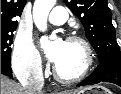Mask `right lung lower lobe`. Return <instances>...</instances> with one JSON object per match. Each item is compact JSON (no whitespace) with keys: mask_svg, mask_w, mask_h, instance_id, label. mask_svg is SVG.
<instances>
[{"mask_svg":"<svg viewBox=\"0 0 121 94\" xmlns=\"http://www.w3.org/2000/svg\"><path fill=\"white\" fill-rule=\"evenodd\" d=\"M1 74L12 77L10 60H1Z\"/></svg>","mask_w":121,"mask_h":94,"instance_id":"1","label":"right lung lower lobe"}]
</instances>
